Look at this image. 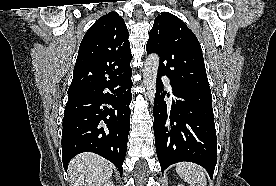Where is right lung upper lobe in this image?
<instances>
[{
	"instance_id": "1",
	"label": "right lung upper lobe",
	"mask_w": 276,
	"mask_h": 186,
	"mask_svg": "<svg viewBox=\"0 0 276 186\" xmlns=\"http://www.w3.org/2000/svg\"><path fill=\"white\" fill-rule=\"evenodd\" d=\"M128 35L117 12L98 19L81 41L68 91L104 86L130 74L132 55Z\"/></svg>"
}]
</instances>
